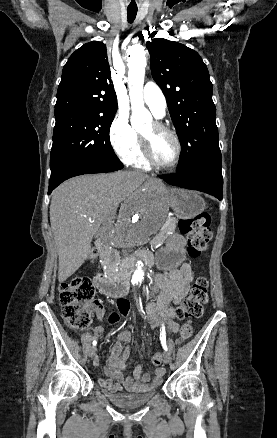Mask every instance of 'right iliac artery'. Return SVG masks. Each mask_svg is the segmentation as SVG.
Instances as JSON below:
<instances>
[{
	"label": "right iliac artery",
	"mask_w": 277,
	"mask_h": 438,
	"mask_svg": "<svg viewBox=\"0 0 277 438\" xmlns=\"http://www.w3.org/2000/svg\"><path fill=\"white\" fill-rule=\"evenodd\" d=\"M92 344H93V346H95L97 344V341L94 340Z\"/></svg>",
	"instance_id": "obj_1"
}]
</instances>
